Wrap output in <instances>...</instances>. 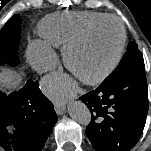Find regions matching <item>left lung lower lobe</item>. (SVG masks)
<instances>
[{
    "label": "left lung lower lobe",
    "instance_id": "0a47b994",
    "mask_svg": "<svg viewBox=\"0 0 151 151\" xmlns=\"http://www.w3.org/2000/svg\"><path fill=\"white\" fill-rule=\"evenodd\" d=\"M80 99L92 114L86 134L96 151H129L148 112L145 67H132Z\"/></svg>",
    "mask_w": 151,
    "mask_h": 151
}]
</instances>
